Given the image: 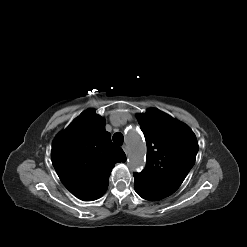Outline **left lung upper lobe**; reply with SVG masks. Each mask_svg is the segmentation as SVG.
Wrapping results in <instances>:
<instances>
[{"label": "left lung upper lobe", "instance_id": "obj_1", "mask_svg": "<svg viewBox=\"0 0 247 247\" xmlns=\"http://www.w3.org/2000/svg\"><path fill=\"white\" fill-rule=\"evenodd\" d=\"M137 118L147 143V162L134 177L165 198L179 188L193 167L199 149L196 136L186 124L158 109Z\"/></svg>", "mask_w": 247, "mask_h": 247}]
</instances>
